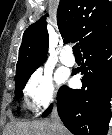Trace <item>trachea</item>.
Returning <instances> with one entry per match:
<instances>
[{
  "mask_svg": "<svg viewBox=\"0 0 112 135\" xmlns=\"http://www.w3.org/2000/svg\"><path fill=\"white\" fill-rule=\"evenodd\" d=\"M73 52L75 55H81L80 47L78 43L73 46Z\"/></svg>",
  "mask_w": 112,
  "mask_h": 135,
  "instance_id": "3493384b",
  "label": "trachea"
}]
</instances>
